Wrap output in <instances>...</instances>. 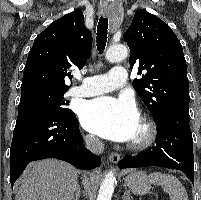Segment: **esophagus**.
<instances>
[{
	"instance_id": "obj_1",
	"label": "esophagus",
	"mask_w": 201,
	"mask_h": 200,
	"mask_svg": "<svg viewBox=\"0 0 201 200\" xmlns=\"http://www.w3.org/2000/svg\"><path fill=\"white\" fill-rule=\"evenodd\" d=\"M103 14L105 16H109L111 14V10L110 9H105ZM109 160L112 162V163H118L119 160H120V154L118 153H111L110 156H109Z\"/></svg>"
}]
</instances>
